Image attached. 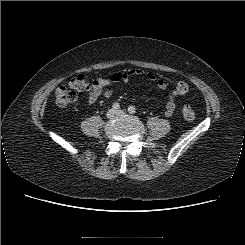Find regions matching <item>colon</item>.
I'll return each instance as SVG.
<instances>
[{
  "label": "colon",
  "instance_id": "colon-1",
  "mask_svg": "<svg viewBox=\"0 0 245 245\" xmlns=\"http://www.w3.org/2000/svg\"><path fill=\"white\" fill-rule=\"evenodd\" d=\"M93 87V84L88 76L79 74L72 78L68 86H59L55 91V101L60 107H66L76 101L78 94L88 91ZM189 85L186 82H177L173 88V94L182 96L189 92ZM186 120L192 121L195 119V111L190 105H184L182 110Z\"/></svg>",
  "mask_w": 245,
  "mask_h": 245
}]
</instances>
